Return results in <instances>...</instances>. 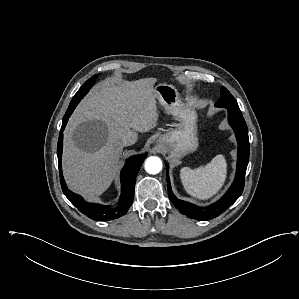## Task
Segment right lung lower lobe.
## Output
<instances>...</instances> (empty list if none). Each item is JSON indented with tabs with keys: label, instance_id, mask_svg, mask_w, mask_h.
I'll return each instance as SVG.
<instances>
[{
	"label": "right lung lower lobe",
	"instance_id": "obj_1",
	"mask_svg": "<svg viewBox=\"0 0 299 299\" xmlns=\"http://www.w3.org/2000/svg\"><path fill=\"white\" fill-rule=\"evenodd\" d=\"M77 105L78 102L69 105L62 121V127L60 130L58 146H57L58 166L60 171L62 169L61 158H62V149H63V130L67 124L70 115L72 114L73 110ZM146 157H147V153H144V154L132 156L127 160L125 166L121 171V175H120L121 176V196L119 199V204L115 208H110V206L85 202L81 196L68 190L61 171L60 177H61V187L63 193L70 200V202L78 208L80 212H82L83 214H85L86 216H88L93 220L110 221L119 218L124 214H126V212L128 211L129 207L133 202L136 176Z\"/></svg>",
	"mask_w": 299,
	"mask_h": 299
}]
</instances>
